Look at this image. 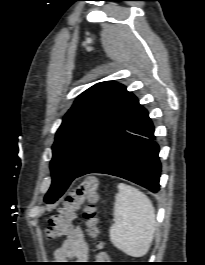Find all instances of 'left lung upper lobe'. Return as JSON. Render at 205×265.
<instances>
[{
    "label": "left lung upper lobe",
    "mask_w": 205,
    "mask_h": 265,
    "mask_svg": "<svg viewBox=\"0 0 205 265\" xmlns=\"http://www.w3.org/2000/svg\"><path fill=\"white\" fill-rule=\"evenodd\" d=\"M137 98L126 87L100 82L78 96L66 113L52 146V184L45 202L54 203L94 154L138 109Z\"/></svg>",
    "instance_id": "obj_1"
}]
</instances>
